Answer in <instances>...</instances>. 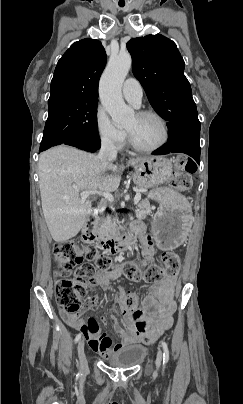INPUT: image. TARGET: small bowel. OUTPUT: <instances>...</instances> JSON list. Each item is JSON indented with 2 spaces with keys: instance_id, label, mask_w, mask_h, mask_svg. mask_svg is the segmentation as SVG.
Wrapping results in <instances>:
<instances>
[{
  "instance_id": "1",
  "label": "small bowel",
  "mask_w": 243,
  "mask_h": 404,
  "mask_svg": "<svg viewBox=\"0 0 243 404\" xmlns=\"http://www.w3.org/2000/svg\"><path fill=\"white\" fill-rule=\"evenodd\" d=\"M134 230L141 235V250L144 257L143 264L148 265L154 261L153 241L150 236H143V226L134 225ZM122 276L121 270L113 273L100 271L96 274L95 283L99 287L106 289L110 280ZM175 279L167 278L159 284L151 287L150 294L144 299L143 307L126 316L125 329L114 321V330L120 338V342L112 347L111 338L106 334H101L98 323L90 318L87 322L78 317H74L65 311L61 312L65 322L76 330H80L88 341L90 348L97 354L108 357L113 351L124 346L142 342L151 344L167 330L172 323V315L175 311L174 300ZM98 301L93 296L85 308L94 306Z\"/></svg>"
}]
</instances>
